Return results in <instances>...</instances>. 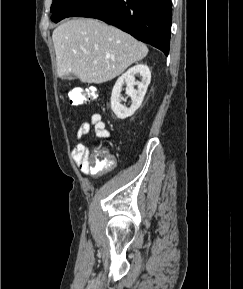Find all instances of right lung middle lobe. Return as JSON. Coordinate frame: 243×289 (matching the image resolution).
Returning a JSON list of instances; mask_svg holds the SVG:
<instances>
[{
    "label": "right lung middle lobe",
    "mask_w": 243,
    "mask_h": 289,
    "mask_svg": "<svg viewBox=\"0 0 243 289\" xmlns=\"http://www.w3.org/2000/svg\"><path fill=\"white\" fill-rule=\"evenodd\" d=\"M85 0H53L51 6V19L57 23L62 19L69 17Z\"/></svg>",
    "instance_id": "right-lung-middle-lobe-1"
}]
</instances>
